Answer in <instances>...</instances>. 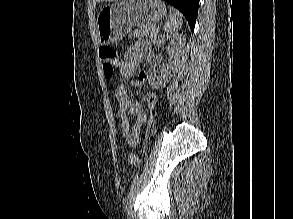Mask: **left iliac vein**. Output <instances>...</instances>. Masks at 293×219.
I'll list each match as a JSON object with an SVG mask.
<instances>
[{
  "mask_svg": "<svg viewBox=\"0 0 293 219\" xmlns=\"http://www.w3.org/2000/svg\"><path fill=\"white\" fill-rule=\"evenodd\" d=\"M132 204H133V195L129 196L126 202V214H127V218L128 219H132L134 212H133V208H132Z\"/></svg>",
  "mask_w": 293,
  "mask_h": 219,
  "instance_id": "1",
  "label": "left iliac vein"
}]
</instances>
